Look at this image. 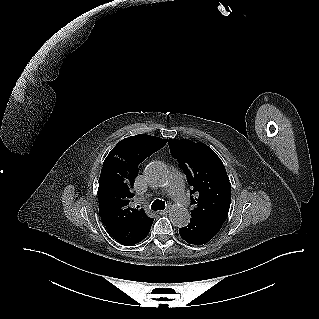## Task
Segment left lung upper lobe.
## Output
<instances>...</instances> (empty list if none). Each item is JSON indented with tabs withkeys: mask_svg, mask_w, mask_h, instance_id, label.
I'll return each mask as SVG.
<instances>
[{
	"mask_svg": "<svg viewBox=\"0 0 319 319\" xmlns=\"http://www.w3.org/2000/svg\"><path fill=\"white\" fill-rule=\"evenodd\" d=\"M168 144L195 195L191 217L224 222L230 208L231 185L221 159L201 142L169 139Z\"/></svg>",
	"mask_w": 319,
	"mask_h": 319,
	"instance_id": "obj_1",
	"label": "left lung upper lobe"
}]
</instances>
